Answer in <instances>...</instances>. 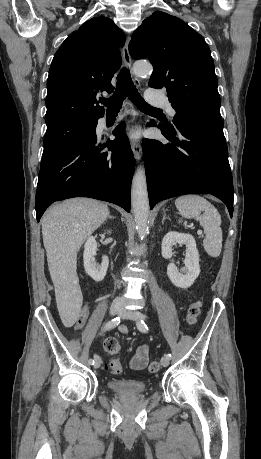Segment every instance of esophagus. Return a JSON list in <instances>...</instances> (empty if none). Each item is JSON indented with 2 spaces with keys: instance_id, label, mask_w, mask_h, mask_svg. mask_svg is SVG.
I'll list each match as a JSON object with an SVG mask.
<instances>
[{
  "instance_id": "esophagus-1",
  "label": "esophagus",
  "mask_w": 261,
  "mask_h": 459,
  "mask_svg": "<svg viewBox=\"0 0 261 459\" xmlns=\"http://www.w3.org/2000/svg\"><path fill=\"white\" fill-rule=\"evenodd\" d=\"M129 42H130V37H127L126 43L122 49V57H123L125 66L131 69L132 59L129 53ZM134 82L138 87L140 86V81L136 77H134ZM131 148H132V152H133L135 159L139 161L141 158V152H142L140 140H137V139L133 140L131 143Z\"/></svg>"
}]
</instances>
